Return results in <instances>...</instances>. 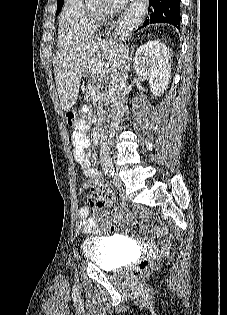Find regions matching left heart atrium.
<instances>
[{
	"mask_svg": "<svg viewBox=\"0 0 227 315\" xmlns=\"http://www.w3.org/2000/svg\"><path fill=\"white\" fill-rule=\"evenodd\" d=\"M128 0H109L107 11L108 12H116L122 8H124L127 4Z\"/></svg>",
	"mask_w": 227,
	"mask_h": 315,
	"instance_id": "39dd6f15",
	"label": "left heart atrium"
}]
</instances>
